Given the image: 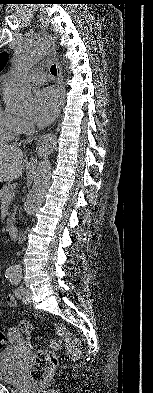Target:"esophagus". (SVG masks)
<instances>
[{"instance_id":"1","label":"esophagus","mask_w":153,"mask_h":393,"mask_svg":"<svg viewBox=\"0 0 153 393\" xmlns=\"http://www.w3.org/2000/svg\"><path fill=\"white\" fill-rule=\"evenodd\" d=\"M54 61L56 64V68H57V82H58V87L60 90V95H61V107L64 105L65 102V87H64V81H63V75H62V70L61 67L59 65V62L56 58V56H54Z\"/></svg>"}]
</instances>
